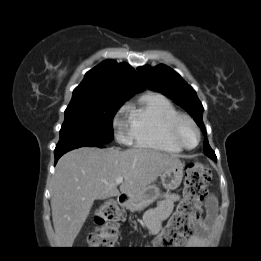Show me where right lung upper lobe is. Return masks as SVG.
<instances>
[{"mask_svg":"<svg viewBox=\"0 0 261 261\" xmlns=\"http://www.w3.org/2000/svg\"><path fill=\"white\" fill-rule=\"evenodd\" d=\"M145 89L135 70L128 64L106 60L86 73L73 91V98L116 96L129 99Z\"/></svg>","mask_w":261,"mask_h":261,"instance_id":"cb5924a9","label":"right lung upper lobe"}]
</instances>
